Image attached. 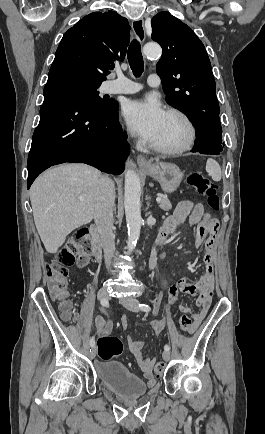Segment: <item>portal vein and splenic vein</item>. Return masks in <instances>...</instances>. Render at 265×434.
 <instances>
[{"label":"portal vein and splenic vein","mask_w":265,"mask_h":434,"mask_svg":"<svg viewBox=\"0 0 265 434\" xmlns=\"http://www.w3.org/2000/svg\"><path fill=\"white\" fill-rule=\"evenodd\" d=\"M80 202H83L84 198H78ZM162 198H156V202H161Z\"/></svg>","instance_id":"18ae733b"}]
</instances>
